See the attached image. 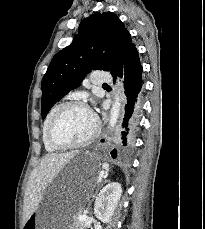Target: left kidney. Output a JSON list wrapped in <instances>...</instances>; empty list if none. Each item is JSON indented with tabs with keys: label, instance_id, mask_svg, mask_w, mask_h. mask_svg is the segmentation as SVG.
Listing matches in <instances>:
<instances>
[{
	"label": "left kidney",
	"instance_id": "obj_1",
	"mask_svg": "<svg viewBox=\"0 0 205 229\" xmlns=\"http://www.w3.org/2000/svg\"><path fill=\"white\" fill-rule=\"evenodd\" d=\"M121 194L122 188L118 182H111L103 187L94 204L95 216L104 223L110 222Z\"/></svg>",
	"mask_w": 205,
	"mask_h": 229
}]
</instances>
